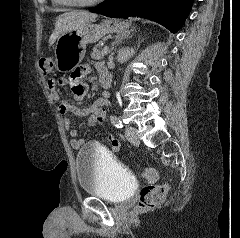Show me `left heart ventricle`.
Segmentation results:
<instances>
[{
  "label": "left heart ventricle",
  "mask_w": 240,
  "mask_h": 238,
  "mask_svg": "<svg viewBox=\"0 0 240 238\" xmlns=\"http://www.w3.org/2000/svg\"><path fill=\"white\" fill-rule=\"evenodd\" d=\"M69 1H74V2H89L91 0H69Z\"/></svg>",
  "instance_id": "b2bd125f"
}]
</instances>
